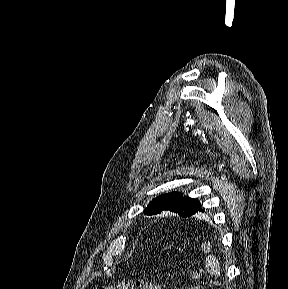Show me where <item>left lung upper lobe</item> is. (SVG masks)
<instances>
[{"label": "left lung upper lobe", "instance_id": "1", "mask_svg": "<svg viewBox=\"0 0 288 289\" xmlns=\"http://www.w3.org/2000/svg\"><path fill=\"white\" fill-rule=\"evenodd\" d=\"M199 204L198 200L186 196L183 197L180 192H171L153 199L144 213L146 215H154L169 210L178 213L182 217H188Z\"/></svg>", "mask_w": 288, "mask_h": 289}]
</instances>
